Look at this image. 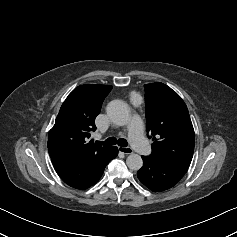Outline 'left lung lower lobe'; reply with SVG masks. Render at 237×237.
Masks as SVG:
<instances>
[{"label": "left lung lower lobe", "mask_w": 237, "mask_h": 237, "mask_svg": "<svg viewBox=\"0 0 237 237\" xmlns=\"http://www.w3.org/2000/svg\"><path fill=\"white\" fill-rule=\"evenodd\" d=\"M143 166L138 171V179L153 191H164L174 185L185 174L184 171L159 163L148 156H142Z\"/></svg>", "instance_id": "left-lung-lower-lobe-1"}]
</instances>
